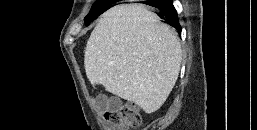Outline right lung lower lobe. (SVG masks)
<instances>
[{
	"label": "right lung lower lobe",
	"instance_id": "obj_1",
	"mask_svg": "<svg viewBox=\"0 0 257 130\" xmlns=\"http://www.w3.org/2000/svg\"><path fill=\"white\" fill-rule=\"evenodd\" d=\"M117 1H115L116 3ZM150 6H153L159 10V17L164 20L165 23L173 26L179 32H181V26L179 24L177 12L171 2V0H162V1H150L145 2Z\"/></svg>",
	"mask_w": 257,
	"mask_h": 130
}]
</instances>
